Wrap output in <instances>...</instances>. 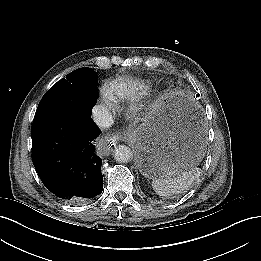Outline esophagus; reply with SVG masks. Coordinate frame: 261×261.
<instances>
[{"label": "esophagus", "instance_id": "34e87169", "mask_svg": "<svg viewBox=\"0 0 261 261\" xmlns=\"http://www.w3.org/2000/svg\"><path fill=\"white\" fill-rule=\"evenodd\" d=\"M119 134H115L113 135L111 138H106L107 144L105 146V150L103 152L104 155L108 156L110 154V152L112 151L113 147L116 145V143L119 141L120 139Z\"/></svg>", "mask_w": 261, "mask_h": 261}]
</instances>
